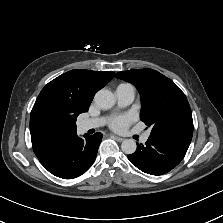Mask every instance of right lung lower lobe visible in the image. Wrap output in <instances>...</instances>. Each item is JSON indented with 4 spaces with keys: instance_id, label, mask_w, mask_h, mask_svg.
I'll return each instance as SVG.
<instances>
[{
    "instance_id": "right-lung-lower-lobe-1",
    "label": "right lung lower lobe",
    "mask_w": 223,
    "mask_h": 223,
    "mask_svg": "<svg viewBox=\"0 0 223 223\" xmlns=\"http://www.w3.org/2000/svg\"><path fill=\"white\" fill-rule=\"evenodd\" d=\"M82 139L75 134L69 140L38 157L41 164L53 175L72 179L82 175L93 164L102 134L84 135Z\"/></svg>"
}]
</instances>
